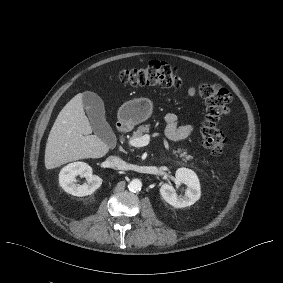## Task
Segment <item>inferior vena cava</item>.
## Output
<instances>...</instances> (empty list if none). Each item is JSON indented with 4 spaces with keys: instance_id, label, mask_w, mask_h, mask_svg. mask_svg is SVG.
Returning a JSON list of instances; mask_svg holds the SVG:
<instances>
[{
    "instance_id": "1",
    "label": "inferior vena cava",
    "mask_w": 283,
    "mask_h": 283,
    "mask_svg": "<svg viewBox=\"0 0 283 283\" xmlns=\"http://www.w3.org/2000/svg\"><path fill=\"white\" fill-rule=\"evenodd\" d=\"M109 163L110 167L114 169H122L124 164V162L120 158L114 156H111L109 158Z\"/></svg>"
}]
</instances>
